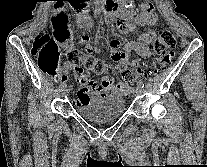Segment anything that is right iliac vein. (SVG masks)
<instances>
[{"label": "right iliac vein", "mask_w": 207, "mask_h": 167, "mask_svg": "<svg viewBox=\"0 0 207 167\" xmlns=\"http://www.w3.org/2000/svg\"><path fill=\"white\" fill-rule=\"evenodd\" d=\"M67 94H68V91H67L66 89H64V90L62 91V96L65 97Z\"/></svg>", "instance_id": "1"}]
</instances>
